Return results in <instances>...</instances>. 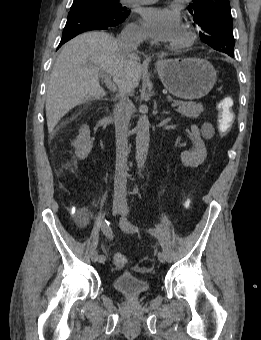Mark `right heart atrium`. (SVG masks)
<instances>
[{"label":"right heart atrium","instance_id":"1","mask_svg":"<svg viewBox=\"0 0 261 340\" xmlns=\"http://www.w3.org/2000/svg\"><path fill=\"white\" fill-rule=\"evenodd\" d=\"M125 34L129 35V36L138 37V38L144 37V31L141 28V26L138 25L137 23H132V24L128 25L126 30H125Z\"/></svg>","mask_w":261,"mask_h":340}]
</instances>
